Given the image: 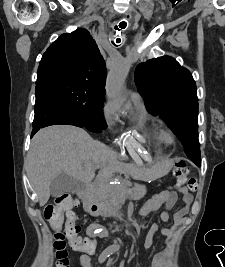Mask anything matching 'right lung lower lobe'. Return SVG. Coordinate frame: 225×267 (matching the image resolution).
Returning a JSON list of instances; mask_svg holds the SVG:
<instances>
[{"instance_id":"obj_1","label":"right lung lower lobe","mask_w":225,"mask_h":267,"mask_svg":"<svg viewBox=\"0 0 225 267\" xmlns=\"http://www.w3.org/2000/svg\"><path fill=\"white\" fill-rule=\"evenodd\" d=\"M35 116L31 137L43 127L57 124L84 127L55 97L42 88H36Z\"/></svg>"}]
</instances>
